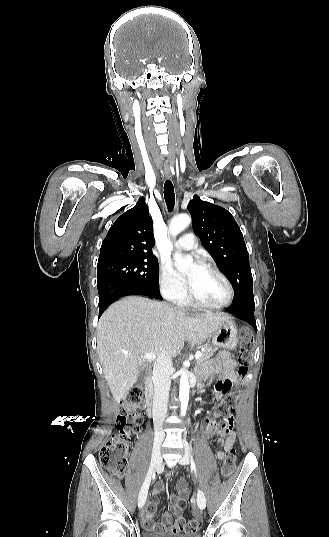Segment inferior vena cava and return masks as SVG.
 <instances>
[{
	"mask_svg": "<svg viewBox=\"0 0 329 537\" xmlns=\"http://www.w3.org/2000/svg\"><path fill=\"white\" fill-rule=\"evenodd\" d=\"M172 371V359L166 350H162L153 366V422L155 432L163 434V422L167 415L169 389L171 385L170 375Z\"/></svg>",
	"mask_w": 329,
	"mask_h": 537,
	"instance_id": "inferior-vena-cava-1",
	"label": "inferior vena cava"
}]
</instances>
